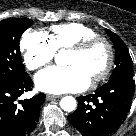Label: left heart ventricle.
I'll return each instance as SVG.
<instances>
[{
	"label": "left heart ventricle",
	"instance_id": "b2bd125f",
	"mask_svg": "<svg viewBox=\"0 0 136 136\" xmlns=\"http://www.w3.org/2000/svg\"><path fill=\"white\" fill-rule=\"evenodd\" d=\"M108 59V51L103 43H97L84 53L68 52L66 57L67 65L79 67L91 80L104 68Z\"/></svg>",
	"mask_w": 136,
	"mask_h": 136
}]
</instances>
